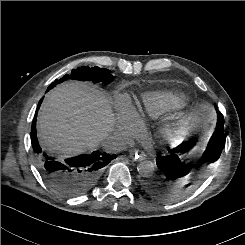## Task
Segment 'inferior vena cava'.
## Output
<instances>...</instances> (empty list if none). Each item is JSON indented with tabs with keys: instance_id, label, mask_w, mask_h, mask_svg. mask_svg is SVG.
<instances>
[{
	"instance_id": "inferior-vena-cava-1",
	"label": "inferior vena cava",
	"mask_w": 245,
	"mask_h": 245,
	"mask_svg": "<svg viewBox=\"0 0 245 245\" xmlns=\"http://www.w3.org/2000/svg\"><path fill=\"white\" fill-rule=\"evenodd\" d=\"M133 145V141L123 136H111L104 142V148L110 151H123Z\"/></svg>"
}]
</instances>
